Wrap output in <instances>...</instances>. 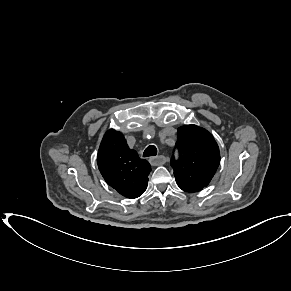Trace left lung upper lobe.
<instances>
[{
	"label": "left lung upper lobe",
	"mask_w": 291,
	"mask_h": 291,
	"mask_svg": "<svg viewBox=\"0 0 291 291\" xmlns=\"http://www.w3.org/2000/svg\"><path fill=\"white\" fill-rule=\"evenodd\" d=\"M178 159H171L177 185L186 192H198L214 176L219 163V147L204 128L185 125L178 128Z\"/></svg>",
	"instance_id": "1"
}]
</instances>
